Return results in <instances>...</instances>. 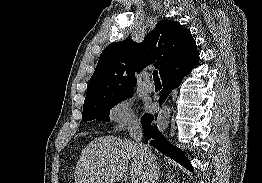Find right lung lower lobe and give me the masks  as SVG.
Returning <instances> with one entry per match:
<instances>
[{"mask_svg":"<svg viewBox=\"0 0 262 183\" xmlns=\"http://www.w3.org/2000/svg\"><path fill=\"white\" fill-rule=\"evenodd\" d=\"M195 67L196 65L185 71L168 76L162 80L163 89L160 92V98H159L160 105L163 104V102L171 93V91L180 85L182 78L185 75L189 74L192 68ZM156 119H157V115H155L154 117L149 115L148 113H146L141 118V123L145 135V141L149 142L151 146L155 147L164 155L171 157L172 159L179 162L187 169L192 170L191 164L188 161V159L185 157V154L176 146H173L171 143H169L168 140H166L165 137L159 132L157 125L153 123V121Z\"/></svg>","mask_w":262,"mask_h":183,"instance_id":"obj_1","label":"right lung lower lobe"}]
</instances>
